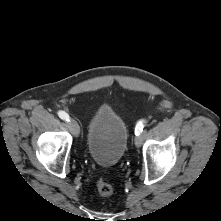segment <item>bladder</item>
I'll return each mask as SVG.
<instances>
[{"mask_svg": "<svg viewBox=\"0 0 221 221\" xmlns=\"http://www.w3.org/2000/svg\"><path fill=\"white\" fill-rule=\"evenodd\" d=\"M128 144V127L112 107L101 104L93 112L86 146L90 158L98 165L110 167L123 157Z\"/></svg>", "mask_w": 221, "mask_h": 221, "instance_id": "31cf9c89", "label": "bladder"}]
</instances>
